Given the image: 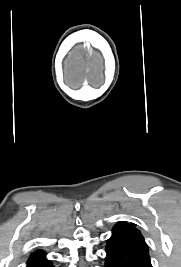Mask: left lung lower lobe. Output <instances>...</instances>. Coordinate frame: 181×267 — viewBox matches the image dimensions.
I'll list each match as a JSON object with an SVG mask.
<instances>
[{
  "instance_id": "1",
  "label": "left lung lower lobe",
  "mask_w": 181,
  "mask_h": 267,
  "mask_svg": "<svg viewBox=\"0 0 181 267\" xmlns=\"http://www.w3.org/2000/svg\"><path fill=\"white\" fill-rule=\"evenodd\" d=\"M106 252L105 267H152L143 236L126 222L114 226Z\"/></svg>"
}]
</instances>
